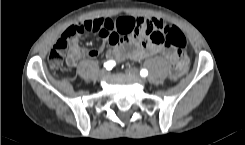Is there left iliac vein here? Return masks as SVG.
I'll use <instances>...</instances> for the list:
<instances>
[{
	"instance_id": "1",
	"label": "left iliac vein",
	"mask_w": 245,
	"mask_h": 145,
	"mask_svg": "<svg viewBox=\"0 0 245 145\" xmlns=\"http://www.w3.org/2000/svg\"><path fill=\"white\" fill-rule=\"evenodd\" d=\"M125 72L128 76L134 78L137 82L141 84L146 83V80L139 75V72L136 68L134 67L127 68Z\"/></svg>"
}]
</instances>
